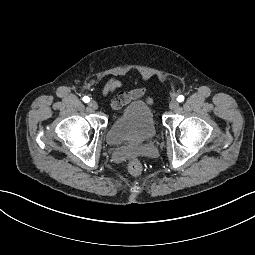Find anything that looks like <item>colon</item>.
I'll return each instance as SVG.
<instances>
[{
  "instance_id": "1",
  "label": "colon",
  "mask_w": 255,
  "mask_h": 255,
  "mask_svg": "<svg viewBox=\"0 0 255 255\" xmlns=\"http://www.w3.org/2000/svg\"><path fill=\"white\" fill-rule=\"evenodd\" d=\"M128 170L131 175L139 176L142 173V165L138 160H131L128 164Z\"/></svg>"
}]
</instances>
